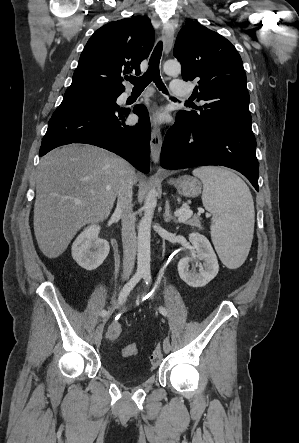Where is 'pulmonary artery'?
<instances>
[{"instance_id":"pulmonary-artery-1","label":"pulmonary artery","mask_w":299,"mask_h":443,"mask_svg":"<svg viewBox=\"0 0 299 443\" xmlns=\"http://www.w3.org/2000/svg\"><path fill=\"white\" fill-rule=\"evenodd\" d=\"M171 92L175 96L184 97L189 95L190 89L184 82L175 79L171 82Z\"/></svg>"}]
</instances>
